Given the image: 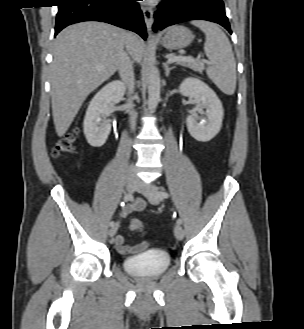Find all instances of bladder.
I'll use <instances>...</instances> for the list:
<instances>
[{"label": "bladder", "mask_w": 304, "mask_h": 329, "mask_svg": "<svg viewBox=\"0 0 304 329\" xmlns=\"http://www.w3.org/2000/svg\"><path fill=\"white\" fill-rule=\"evenodd\" d=\"M169 264L170 256L163 251L144 252L123 261L126 272L138 279L158 278L167 270Z\"/></svg>", "instance_id": "31cf9c89"}]
</instances>
